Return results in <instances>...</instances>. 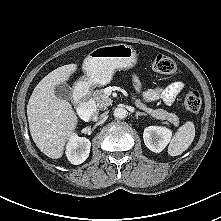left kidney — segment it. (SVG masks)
<instances>
[{"mask_svg":"<svg viewBox=\"0 0 221 221\" xmlns=\"http://www.w3.org/2000/svg\"><path fill=\"white\" fill-rule=\"evenodd\" d=\"M172 136L170 129L160 126H149L144 129L143 139L147 148L155 153L161 152Z\"/></svg>","mask_w":221,"mask_h":221,"instance_id":"obj_1","label":"left kidney"}]
</instances>
